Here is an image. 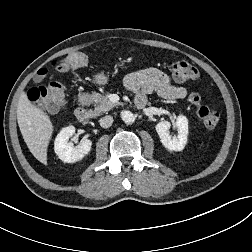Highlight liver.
<instances>
[{"label":"liver","instance_id":"liver-1","mask_svg":"<svg viewBox=\"0 0 252 252\" xmlns=\"http://www.w3.org/2000/svg\"><path fill=\"white\" fill-rule=\"evenodd\" d=\"M17 121L30 152L38 161L46 165L47 148L54 129L49 116L33 105L26 93H22L17 106Z\"/></svg>","mask_w":252,"mask_h":252}]
</instances>
